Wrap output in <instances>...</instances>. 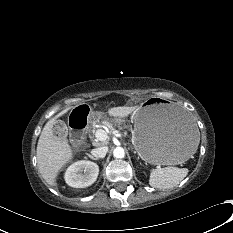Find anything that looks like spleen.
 <instances>
[{
  "label": "spleen",
  "mask_w": 233,
  "mask_h": 233,
  "mask_svg": "<svg viewBox=\"0 0 233 233\" xmlns=\"http://www.w3.org/2000/svg\"><path fill=\"white\" fill-rule=\"evenodd\" d=\"M188 174V169L168 166L153 169L150 173L149 184L154 188L169 189L178 185Z\"/></svg>",
  "instance_id": "3e777b00"
}]
</instances>
